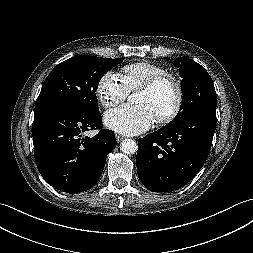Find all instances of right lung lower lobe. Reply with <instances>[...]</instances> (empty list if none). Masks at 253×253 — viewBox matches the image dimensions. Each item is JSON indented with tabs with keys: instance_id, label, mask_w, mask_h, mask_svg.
Returning a JSON list of instances; mask_svg holds the SVG:
<instances>
[{
	"instance_id": "1",
	"label": "right lung lower lobe",
	"mask_w": 253,
	"mask_h": 253,
	"mask_svg": "<svg viewBox=\"0 0 253 253\" xmlns=\"http://www.w3.org/2000/svg\"><path fill=\"white\" fill-rule=\"evenodd\" d=\"M98 129L94 137H82ZM34 156L39 172L54 188L79 193L99 180L108 153L116 146L115 134L103 129L101 114H79L63 108L35 112Z\"/></svg>"
}]
</instances>
